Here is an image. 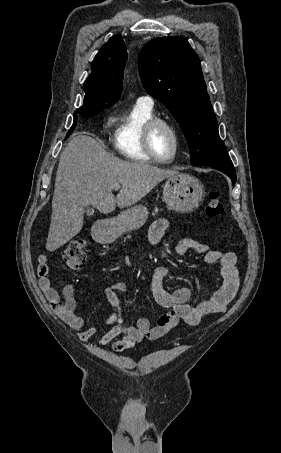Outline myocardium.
Listing matches in <instances>:
<instances>
[{"instance_id": "1", "label": "myocardium", "mask_w": 281, "mask_h": 453, "mask_svg": "<svg viewBox=\"0 0 281 453\" xmlns=\"http://www.w3.org/2000/svg\"><path fill=\"white\" fill-rule=\"evenodd\" d=\"M160 129H165L169 132L173 139L172 155L168 159L161 158L155 149V138ZM180 143V135L176 127L169 121L156 118L151 120L145 127L144 132V146L147 154L156 162L161 164L172 163L178 154Z\"/></svg>"}]
</instances>
